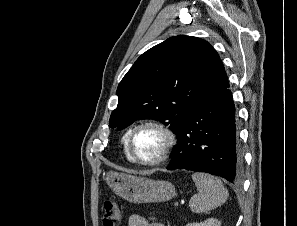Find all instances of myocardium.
Listing matches in <instances>:
<instances>
[{
	"label": "myocardium",
	"mask_w": 297,
	"mask_h": 226,
	"mask_svg": "<svg viewBox=\"0 0 297 226\" xmlns=\"http://www.w3.org/2000/svg\"><path fill=\"white\" fill-rule=\"evenodd\" d=\"M151 127L158 130L164 137V143L162 148L160 149L158 155L150 160H143L140 159L134 152L133 149V140L136 133L143 128ZM176 144V135L175 132L172 130L170 126H168L163 121L157 119H146L140 121L139 123L135 124L129 131L127 139H126V149L127 153L132 161L135 163L145 166V167H153L159 165L166 161L169 157L172 149Z\"/></svg>",
	"instance_id": "myocardium-1"
}]
</instances>
